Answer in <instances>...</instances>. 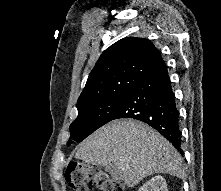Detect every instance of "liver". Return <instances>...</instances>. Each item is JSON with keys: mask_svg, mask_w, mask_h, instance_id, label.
Listing matches in <instances>:
<instances>
[{"mask_svg": "<svg viewBox=\"0 0 221 191\" xmlns=\"http://www.w3.org/2000/svg\"><path fill=\"white\" fill-rule=\"evenodd\" d=\"M75 157L97 166L113 163L129 187L157 173L184 175L182 158L172 144L132 119L114 120L99 128L79 145Z\"/></svg>", "mask_w": 221, "mask_h": 191, "instance_id": "liver-1", "label": "liver"}]
</instances>
